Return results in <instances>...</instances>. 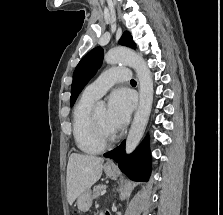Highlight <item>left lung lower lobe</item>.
Returning <instances> with one entry per match:
<instances>
[{
	"label": "left lung lower lobe",
	"instance_id": "obj_1",
	"mask_svg": "<svg viewBox=\"0 0 223 215\" xmlns=\"http://www.w3.org/2000/svg\"><path fill=\"white\" fill-rule=\"evenodd\" d=\"M114 159L119 168L134 181H148L151 171L148 139H145L136 151L127 156L125 154V141L114 150L104 154Z\"/></svg>",
	"mask_w": 223,
	"mask_h": 215
}]
</instances>
